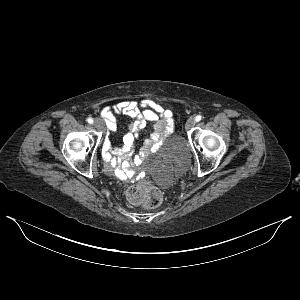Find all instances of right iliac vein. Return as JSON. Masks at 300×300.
Masks as SVG:
<instances>
[{"label": "right iliac vein", "instance_id": "obj_1", "mask_svg": "<svg viewBox=\"0 0 300 300\" xmlns=\"http://www.w3.org/2000/svg\"><path fill=\"white\" fill-rule=\"evenodd\" d=\"M103 121L100 118H96L94 121V126L98 129V130H102L103 129Z\"/></svg>", "mask_w": 300, "mask_h": 300}]
</instances>
